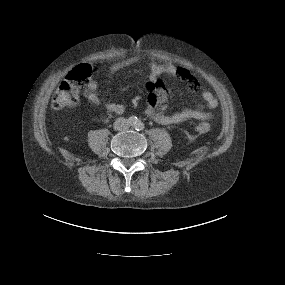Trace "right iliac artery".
<instances>
[{"label": "right iliac artery", "instance_id": "82829eb1", "mask_svg": "<svg viewBox=\"0 0 285 285\" xmlns=\"http://www.w3.org/2000/svg\"><path fill=\"white\" fill-rule=\"evenodd\" d=\"M129 123L132 124V125H135L136 124V118L135 117H131L129 119Z\"/></svg>", "mask_w": 285, "mask_h": 285}]
</instances>
